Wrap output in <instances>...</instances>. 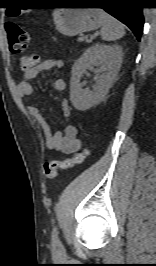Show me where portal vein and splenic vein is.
<instances>
[{"instance_id":"18ae733b","label":"portal vein and splenic vein","mask_w":156,"mask_h":266,"mask_svg":"<svg viewBox=\"0 0 156 266\" xmlns=\"http://www.w3.org/2000/svg\"><path fill=\"white\" fill-rule=\"evenodd\" d=\"M84 40V38H78L79 42H82Z\"/></svg>"}]
</instances>
